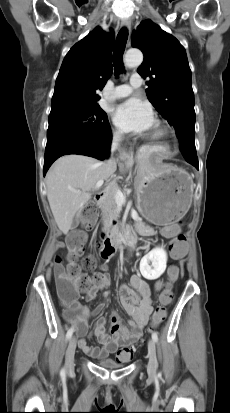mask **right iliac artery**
I'll return each mask as SVG.
<instances>
[{
    "mask_svg": "<svg viewBox=\"0 0 230 413\" xmlns=\"http://www.w3.org/2000/svg\"><path fill=\"white\" fill-rule=\"evenodd\" d=\"M73 332H74V328H73V327H71V328L67 331L66 338H67L68 340L71 338ZM61 375H63V376L65 375V369H62V370H61Z\"/></svg>",
    "mask_w": 230,
    "mask_h": 413,
    "instance_id": "82829eb1",
    "label": "right iliac artery"
}]
</instances>
